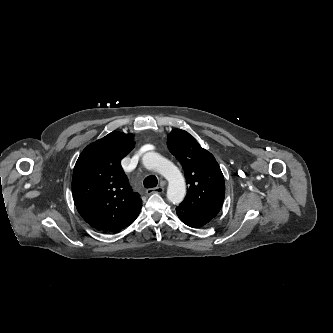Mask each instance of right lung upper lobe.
I'll return each instance as SVG.
<instances>
[{"instance_id": "obj_1", "label": "right lung upper lobe", "mask_w": 333, "mask_h": 333, "mask_svg": "<svg viewBox=\"0 0 333 333\" xmlns=\"http://www.w3.org/2000/svg\"><path fill=\"white\" fill-rule=\"evenodd\" d=\"M135 146L134 135L113 131L88 145L73 171L72 194L81 217L93 228L117 233L138 217L142 200L120 165Z\"/></svg>"}]
</instances>
